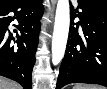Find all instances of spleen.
Masks as SVG:
<instances>
[{
	"mask_svg": "<svg viewBox=\"0 0 107 89\" xmlns=\"http://www.w3.org/2000/svg\"><path fill=\"white\" fill-rule=\"evenodd\" d=\"M73 89H102L99 86H91V85H80L77 84L73 87Z\"/></svg>",
	"mask_w": 107,
	"mask_h": 89,
	"instance_id": "1",
	"label": "spleen"
}]
</instances>
